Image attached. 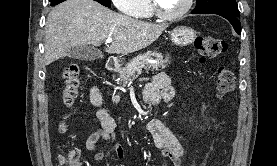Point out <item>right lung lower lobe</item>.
I'll return each instance as SVG.
<instances>
[{"instance_id":"obj_1","label":"right lung lower lobe","mask_w":277,"mask_h":166,"mask_svg":"<svg viewBox=\"0 0 277 166\" xmlns=\"http://www.w3.org/2000/svg\"><path fill=\"white\" fill-rule=\"evenodd\" d=\"M63 1H65V0H57L56 2H52L50 5L51 6H55V5H57V4H59V3L63 2Z\"/></svg>"}]
</instances>
